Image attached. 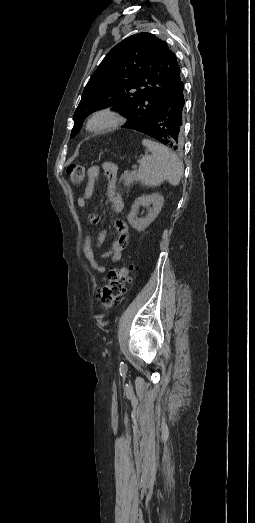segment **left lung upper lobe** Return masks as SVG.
Masks as SVG:
<instances>
[{
  "mask_svg": "<svg viewBox=\"0 0 255 523\" xmlns=\"http://www.w3.org/2000/svg\"><path fill=\"white\" fill-rule=\"evenodd\" d=\"M179 84L184 86L180 67L166 42L146 32L132 35L113 47L92 74L74 113L70 137L90 113L112 105L128 113L130 124L124 128L143 125Z\"/></svg>",
  "mask_w": 255,
  "mask_h": 523,
  "instance_id": "1",
  "label": "left lung upper lobe"
}]
</instances>
